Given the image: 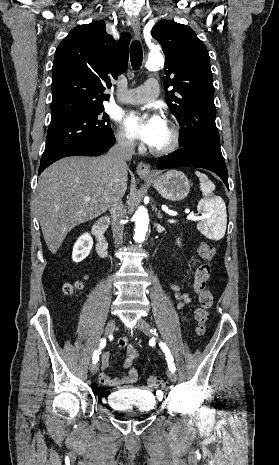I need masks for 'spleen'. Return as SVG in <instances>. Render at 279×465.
Returning <instances> with one entry per match:
<instances>
[{
    "label": "spleen",
    "mask_w": 279,
    "mask_h": 465,
    "mask_svg": "<svg viewBox=\"0 0 279 465\" xmlns=\"http://www.w3.org/2000/svg\"><path fill=\"white\" fill-rule=\"evenodd\" d=\"M200 180V190L204 196L198 203V211L202 213L203 220L197 225L198 229L207 237L219 240L225 235L227 224V212L223 199L219 196L212 197L215 190L214 183L207 175L196 172Z\"/></svg>",
    "instance_id": "obj_1"
}]
</instances>
